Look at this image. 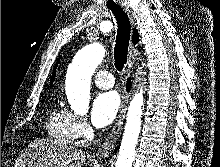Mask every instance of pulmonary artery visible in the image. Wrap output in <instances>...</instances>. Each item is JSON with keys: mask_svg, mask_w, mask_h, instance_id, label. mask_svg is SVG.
Listing matches in <instances>:
<instances>
[{"mask_svg": "<svg viewBox=\"0 0 220 167\" xmlns=\"http://www.w3.org/2000/svg\"><path fill=\"white\" fill-rule=\"evenodd\" d=\"M94 83L102 89H109L114 86L113 75L109 71L101 70L94 74Z\"/></svg>", "mask_w": 220, "mask_h": 167, "instance_id": "pulmonary-artery-1", "label": "pulmonary artery"}]
</instances>
